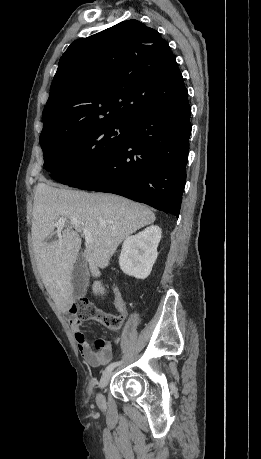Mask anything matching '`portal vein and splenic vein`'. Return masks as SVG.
<instances>
[{
    "mask_svg": "<svg viewBox=\"0 0 261 459\" xmlns=\"http://www.w3.org/2000/svg\"><path fill=\"white\" fill-rule=\"evenodd\" d=\"M67 221L66 218L62 217L59 219V221L54 225L58 229H62L65 225V222ZM83 234L85 236V241L87 244L92 242V233L88 228L83 229Z\"/></svg>",
    "mask_w": 261,
    "mask_h": 459,
    "instance_id": "obj_1",
    "label": "portal vein and splenic vein"
}]
</instances>
